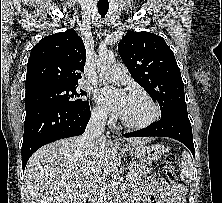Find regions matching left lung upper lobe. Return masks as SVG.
Here are the masks:
<instances>
[{
  "label": "left lung upper lobe",
  "instance_id": "left-lung-upper-lobe-1",
  "mask_svg": "<svg viewBox=\"0 0 222 203\" xmlns=\"http://www.w3.org/2000/svg\"><path fill=\"white\" fill-rule=\"evenodd\" d=\"M118 51L133 79L157 100L161 115L176 109L187 111L180 69L161 36L129 31Z\"/></svg>",
  "mask_w": 222,
  "mask_h": 203
}]
</instances>
